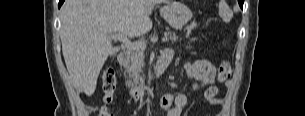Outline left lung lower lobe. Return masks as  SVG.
<instances>
[{
    "label": "left lung lower lobe",
    "instance_id": "left-lung-lower-lobe-1",
    "mask_svg": "<svg viewBox=\"0 0 305 116\" xmlns=\"http://www.w3.org/2000/svg\"><path fill=\"white\" fill-rule=\"evenodd\" d=\"M239 4L242 7L243 6V0H239Z\"/></svg>",
    "mask_w": 305,
    "mask_h": 116
}]
</instances>
